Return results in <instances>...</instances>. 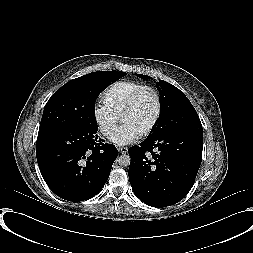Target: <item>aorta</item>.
Wrapping results in <instances>:
<instances>
[{
  "mask_svg": "<svg viewBox=\"0 0 253 253\" xmlns=\"http://www.w3.org/2000/svg\"><path fill=\"white\" fill-rule=\"evenodd\" d=\"M116 161L120 166L128 167L131 163V158L129 155L123 154L119 156Z\"/></svg>",
  "mask_w": 253,
  "mask_h": 253,
  "instance_id": "762f6f07",
  "label": "aorta"
}]
</instances>
